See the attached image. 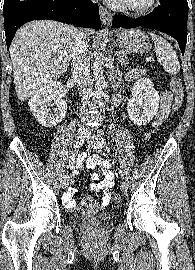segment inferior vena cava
<instances>
[{
	"label": "inferior vena cava",
	"mask_w": 195,
	"mask_h": 270,
	"mask_svg": "<svg viewBox=\"0 0 195 270\" xmlns=\"http://www.w3.org/2000/svg\"><path fill=\"white\" fill-rule=\"evenodd\" d=\"M73 78L77 83L82 97V113H87V105L92 94L93 82L90 74V59L88 57V41L86 34L78 32L74 38L72 52ZM85 131V128H83Z\"/></svg>",
	"instance_id": "obj_1"
}]
</instances>
